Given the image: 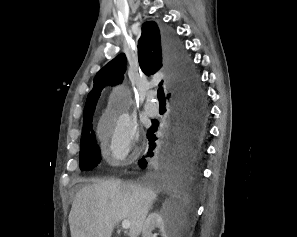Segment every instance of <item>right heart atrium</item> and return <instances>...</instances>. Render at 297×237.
Segmentation results:
<instances>
[{
    "label": "right heart atrium",
    "instance_id": "d8ad5b80",
    "mask_svg": "<svg viewBox=\"0 0 297 237\" xmlns=\"http://www.w3.org/2000/svg\"><path fill=\"white\" fill-rule=\"evenodd\" d=\"M97 132L102 140L104 154L112 164L126 162L137 149V124L123 110L106 111L99 121Z\"/></svg>",
    "mask_w": 297,
    "mask_h": 237
}]
</instances>
